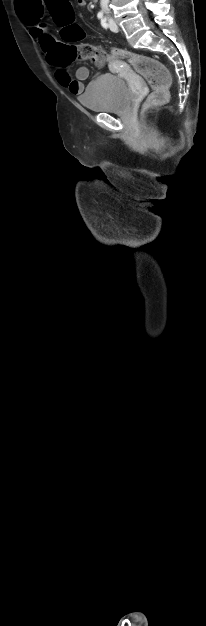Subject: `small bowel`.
<instances>
[{"label": "small bowel", "mask_w": 206, "mask_h": 626, "mask_svg": "<svg viewBox=\"0 0 206 626\" xmlns=\"http://www.w3.org/2000/svg\"><path fill=\"white\" fill-rule=\"evenodd\" d=\"M76 2L80 7L86 6V0H76ZM29 24L32 25L31 35L40 44V47L44 52L47 61L52 65L58 66L53 60L54 48L56 47V45H58V43H56L47 34L46 25L42 23L38 24L37 22ZM114 65L120 66L121 63L119 61H114ZM55 76L57 81L62 86L66 87L70 91V93L74 95H80L84 91L83 81L89 77V70L87 67H79L75 72V78H72L64 68L59 67V69L56 71Z\"/></svg>", "instance_id": "c3829d8e"}]
</instances>
